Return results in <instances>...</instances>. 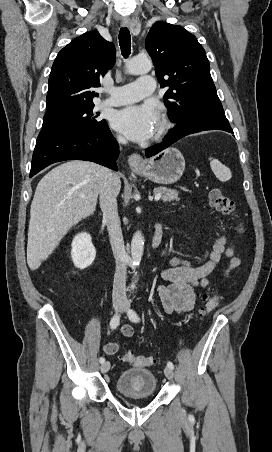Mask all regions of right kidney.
I'll use <instances>...</instances> for the list:
<instances>
[{"instance_id":"right-kidney-1","label":"right kidney","mask_w":272,"mask_h":452,"mask_svg":"<svg viewBox=\"0 0 272 452\" xmlns=\"http://www.w3.org/2000/svg\"><path fill=\"white\" fill-rule=\"evenodd\" d=\"M71 257L75 267L85 269L92 264L96 256V249L92 244L90 234H77L71 244Z\"/></svg>"}]
</instances>
